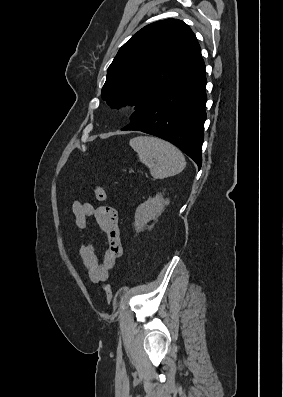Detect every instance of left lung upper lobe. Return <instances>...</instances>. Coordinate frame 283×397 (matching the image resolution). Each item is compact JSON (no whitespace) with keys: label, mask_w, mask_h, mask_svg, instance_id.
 <instances>
[{"label":"left lung upper lobe","mask_w":283,"mask_h":397,"mask_svg":"<svg viewBox=\"0 0 283 397\" xmlns=\"http://www.w3.org/2000/svg\"><path fill=\"white\" fill-rule=\"evenodd\" d=\"M204 65L200 46L187 24L178 19L157 21L119 49L107 70L102 99L112 108L135 105L132 122Z\"/></svg>","instance_id":"obj_1"}]
</instances>
